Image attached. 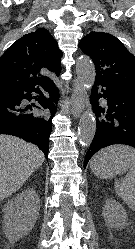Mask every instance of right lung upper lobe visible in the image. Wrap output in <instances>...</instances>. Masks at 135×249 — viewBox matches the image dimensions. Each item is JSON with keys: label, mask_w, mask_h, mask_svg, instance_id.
I'll use <instances>...</instances> for the list:
<instances>
[{"label": "right lung upper lobe", "mask_w": 135, "mask_h": 249, "mask_svg": "<svg viewBox=\"0 0 135 249\" xmlns=\"http://www.w3.org/2000/svg\"><path fill=\"white\" fill-rule=\"evenodd\" d=\"M61 56L57 42L46 29L25 34L0 57V90L49 83L51 80L41 76L40 71L47 68L58 75Z\"/></svg>", "instance_id": "cb5924a9"}]
</instances>
